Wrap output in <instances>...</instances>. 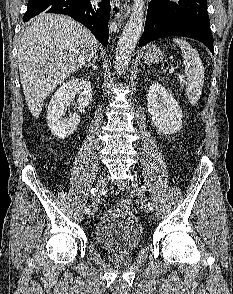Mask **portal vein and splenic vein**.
<instances>
[{"instance_id":"portal-vein-and-splenic-vein-1","label":"portal vein and splenic vein","mask_w":233,"mask_h":294,"mask_svg":"<svg viewBox=\"0 0 233 294\" xmlns=\"http://www.w3.org/2000/svg\"><path fill=\"white\" fill-rule=\"evenodd\" d=\"M174 71H175V69H174L173 67H171V68L169 69V73H170V74H173ZM177 76H178V78H179L180 80H183V78H184V76H182V75H177Z\"/></svg>"}]
</instances>
